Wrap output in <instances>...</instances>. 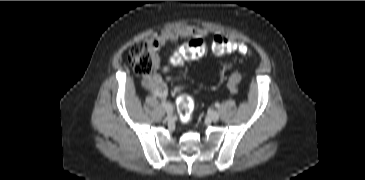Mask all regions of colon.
Listing matches in <instances>:
<instances>
[{"instance_id": "1", "label": "colon", "mask_w": 365, "mask_h": 180, "mask_svg": "<svg viewBox=\"0 0 365 180\" xmlns=\"http://www.w3.org/2000/svg\"><path fill=\"white\" fill-rule=\"evenodd\" d=\"M207 44L202 38L191 39L189 42L181 46L172 56V60L176 63L186 60H196L205 55ZM212 52L216 56H222L232 52L246 56L250 54V50L244 44L236 43L224 36H217L212 42ZM129 63L134 71L142 76H150L157 67V53L150 47L148 43L136 42L129 48ZM240 80V75H234L229 81L231 90H235ZM180 91V90H179ZM177 109L182 121L189 122L192 119L194 110L193 100L184 94H180L177 100Z\"/></svg>"}]
</instances>
